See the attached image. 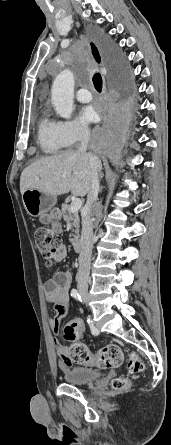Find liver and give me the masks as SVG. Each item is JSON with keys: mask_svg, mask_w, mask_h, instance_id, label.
<instances>
[{"mask_svg": "<svg viewBox=\"0 0 171 445\" xmlns=\"http://www.w3.org/2000/svg\"><path fill=\"white\" fill-rule=\"evenodd\" d=\"M90 188L91 170L85 152L67 150L41 158L25 168L20 176L21 194L27 189H36L55 197L68 192L85 196Z\"/></svg>", "mask_w": 171, "mask_h": 445, "instance_id": "1", "label": "liver"}]
</instances>
